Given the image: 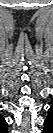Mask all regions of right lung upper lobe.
Segmentation results:
<instances>
[{"instance_id":"obj_1","label":"right lung upper lobe","mask_w":53,"mask_h":133,"mask_svg":"<svg viewBox=\"0 0 53 133\" xmlns=\"http://www.w3.org/2000/svg\"><path fill=\"white\" fill-rule=\"evenodd\" d=\"M0 127H1L4 131L8 132V131H7V123H6L5 119H4L2 116L0 117Z\"/></svg>"}]
</instances>
